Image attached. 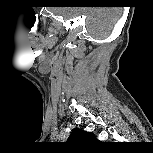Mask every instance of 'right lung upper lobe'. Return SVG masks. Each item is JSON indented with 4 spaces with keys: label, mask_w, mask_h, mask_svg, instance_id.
<instances>
[{
    "label": "right lung upper lobe",
    "mask_w": 153,
    "mask_h": 153,
    "mask_svg": "<svg viewBox=\"0 0 153 153\" xmlns=\"http://www.w3.org/2000/svg\"><path fill=\"white\" fill-rule=\"evenodd\" d=\"M68 141L78 144H91L95 143L97 139L90 132H86L79 128H74L73 131L71 132V135L68 138Z\"/></svg>",
    "instance_id": "cb5924a9"
}]
</instances>
